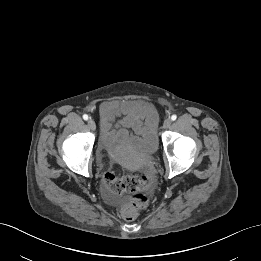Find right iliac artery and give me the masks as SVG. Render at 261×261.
Masks as SVG:
<instances>
[{
	"label": "right iliac artery",
	"mask_w": 261,
	"mask_h": 261,
	"mask_svg": "<svg viewBox=\"0 0 261 261\" xmlns=\"http://www.w3.org/2000/svg\"><path fill=\"white\" fill-rule=\"evenodd\" d=\"M83 119H84V120H88V115H87V114H84V115H83Z\"/></svg>",
	"instance_id": "right-iliac-artery-1"
}]
</instances>
